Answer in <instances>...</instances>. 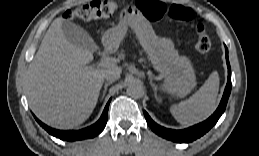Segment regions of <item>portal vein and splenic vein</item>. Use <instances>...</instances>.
<instances>
[{
    "label": "portal vein and splenic vein",
    "mask_w": 259,
    "mask_h": 156,
    "mask_svg": "<svg viewBox=\"0 0 259 156\" xmlns=\"http://www.w3.org/2000/svg\"><path fill=\"white\" fill-rule=\"evenodd\" d=\"M117 60L115 58L104 57L101 61L97 64L99 67H111L116 65Z\"/></svg>",
    "instance_id": "18ae733b"
}]
</instances>
